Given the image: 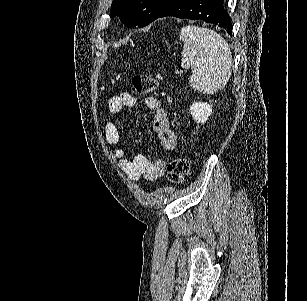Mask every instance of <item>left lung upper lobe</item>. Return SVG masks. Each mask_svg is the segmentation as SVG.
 <instances>
[{"instance_id": "left-lung-upper-lobe-1", "label": "left lung upper lobe", "mask_w": 307, "mask_h": 301, "mask_svg": "<svg viewBox=\"0 0 307 301\" xmlns=\"http://www.w3.org/2000/svg\"><path fill=\"white\" fill-rule=\"evenodd\" d=\"M176 0H113L111 17L119 16L127 27H143L157 19Z\"/></svg>"}]
</instances>
